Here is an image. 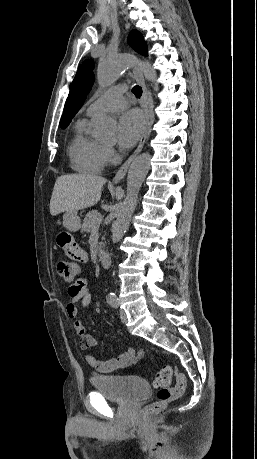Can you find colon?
Here are the masks:
<instances>
[{"label": "colon", "instance_id": "colon-1", "mask_svg": "<svg viewBox=\"0 0 257 459\" xmlns=\"http://www.w3.org/2000/svg\"><path fill=\"white\" fill-rule=\"evenodd\" d=\"M81 264H69L67 260H60L57 263L58 275L67 283H74L80 273ZM173 370L170 366H164L154 377L153 386L158 389L157 400L147 406L143 414L153 416L164 409L168 404L180 397L186 389V377L176 374V385L170 387Z\"/></svg>", "mask_w": 257, "mask_h": 459}]
</instances>
